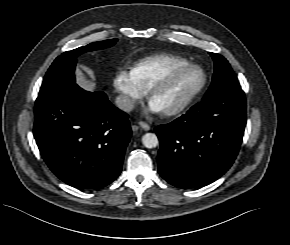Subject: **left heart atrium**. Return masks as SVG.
I'll use <instances>...</instances> for the list:
<instances>
[{
	"label": "left heart atrium",
	"mask_w": 290,
	"mask_h": 245,
	"mask_svg": "<svg viewBox=\"0 0 290 245\" xmlns=\"http://www.w3.org/2000/svg\"><path fill=\"white\" fill-rule=\"evenodd\" d=\"M147 113H160L162 112L161 107L154 102L152 99L149 102L148 108L146 109Z\"/></svg>",
	"instance_id": "left-heart-atrium-1"
}]
</instances>
